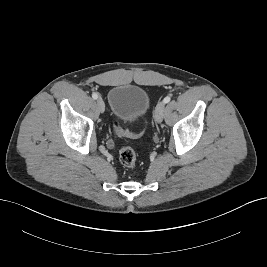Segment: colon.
<instances>
[{"label":"colon","instance_id":"colon-1","mask_svg":"<svg viewBox=\"0 0 267 267\" xmlns=\"http://www.w3.org/2000/svg\"><path fill=\"white\" fill-rule=\"evenodd\" d=\"M113 130L115 134L118 136L126 135L133 138L139 137L143 133V132L135 133L128 130H123L118 121L113 122ZM119 160L121 164L124 165L125 167L133 168L136 164V154L132 148L123 147L119 151Z\"/></svg>","mask_w":267,"mask_h":267}]
</instances>
